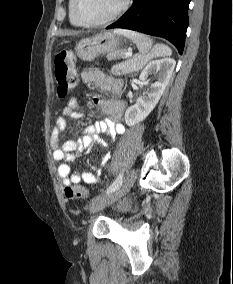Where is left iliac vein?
<instances>
[{
  "label": "left iliac vein",
  "mask_w": 233,
  "mask_h": 284,
  "mask_svg": "<svg viewBox=\"0 0 233 284\" xmlns=\"http://www.w3.org/2000/svg\"><path fill=\"white\" fill-rule=\"evenodd\" d=\"M136 177L137 172L135 169H132L123 181V183L116 190L106 195L100 196L90 203V212H98L121 199L126 193L129 192L135 182Z\"/></svg>",
  "instance_id": "obj_1"
}]
</instances>
